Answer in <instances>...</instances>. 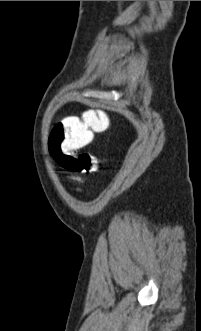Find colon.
<instances>
[{
  "label": "colon",
  "instance_id": "1",
  "mask_svg": "<svg viewBox=\"0 0 201 331\" xmlns=\"http://www.w3.org/2000/svg\"><path fill=\"white\" fill-rule=\"evenodd\" d=\"M110 119L106 113L90 110L80 117L61 119L53 127L49 137V150L58 165L71 173H90L98 169L97 159L89 153L74 150L88 145L94 133L109 128Z\"/></svg>",
  "mask_w": 201,
  "mask_h": 331
}]
</instances>
